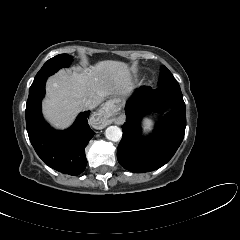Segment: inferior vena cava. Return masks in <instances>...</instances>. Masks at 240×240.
Listing matches in <instances>:
<instances>
[{
    "label": "inferior vena cava",
    "instance_id": "inferior-vena-cava-1",
    "mask_svg": "<svg viewBox=\"0 0 240 240\" xmlns=\"http://www.w3.org/2000/svg\"><path fill=\"white\" fill-rule=\"evenodd\" d=\"M97 106L96 102H94L93 100H86L83 104V107L86 109H93Z\"/></svg>",
    "mask_w": 240,
    "mask_h": 240
}]
</instances>
